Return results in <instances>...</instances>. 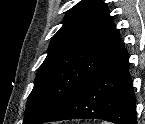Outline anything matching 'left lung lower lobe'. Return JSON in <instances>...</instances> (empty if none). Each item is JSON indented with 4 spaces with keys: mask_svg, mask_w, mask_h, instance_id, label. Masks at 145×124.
<instances>
[{
    "mask_svg": "<svg viewBox=\"0 0 145 124\" xmlns=\"http://www.w3.org/2000/svg\"><path fill=\"white\" fill-rule=\"evenodd\" d=\"M135 104L128 54L120 47L44 122L103 119L116 124H137Z\"/></svg>",
    "mask_w": 145,
    "mask_h": 124,
    "instance_id": "0a47b994",
    "label": "left lung lower lobe"
}]
</instances>
